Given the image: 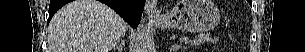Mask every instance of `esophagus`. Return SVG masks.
<instances>
[{
  "instance_id": "1",
  "label": "esophagus",
  "mask_w": 305,
  "mask_h": 52,
  "mask_svg": "<svg viewBox=\"0 0 305 52\" xmlns=\"http://www.w3.org/2000/svg\"><path fill=\"white\" fill-rule=\"evenodd\" d=\"M156 4V0H146L145 12L148 18H154L158 16V13L156 11Z\"/></svg>"
}]
</instances>
